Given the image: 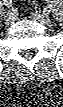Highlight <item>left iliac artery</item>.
<instances>
[{"label":"left iliac artery","instance_id":"left-iliac-artery-1","mask_svg":"<svg viewBox=\"0 0 63 107\" xmlns=\"http://www.w3.org/2000/svg\"><path fill=\"white\" fill-rule=\"evenodd\" d=\"M47 9H48V12H50L52 10V5H51L50 1L47 2Z\"/></svg>","mask_w":63,"mask_h":107}]
</instances>
